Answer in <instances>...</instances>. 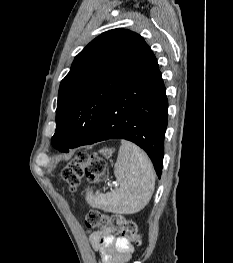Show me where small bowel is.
Wrapping results in <instances>:
<instances>
[{"mask_svg": "<svg viewBox=\"0 0 233 263\" xmlns=\"http://www.w3.org/2000/svg\"><path fill=\"white\" fill-rule=\"evenodd\" d=\"M89 240L93 248L100 253L99 263H128L134 252L129 240L111 228L90 231Z\"/></svg>", "mask_w": 233, "mask_h": 263, "instance_id": "c3829d8e", "label": "small bowel"}]
</instances>
